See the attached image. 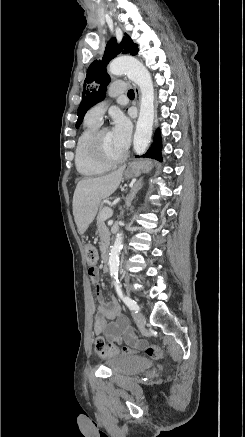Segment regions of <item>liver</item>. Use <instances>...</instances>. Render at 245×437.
Instances as JSON below:
<instances>
[{
  "label": "liver",
  "instance_id": "6515ba94",
  "mask_svg": "<svg viewBox=\"0 0 245 437\" xmlns=\"http://www.w3.org/2000/svg\"><path fill=\"white\" fill-rule=\"evenodd\" d=\"M125 167L101 177L78 182L73 195V215L79 234L83 235L95 219L100 203L113 194L123 177Z\"/></svg>",
  "mask_w": 245,
  "mask_h": 437
}]
</instances>
